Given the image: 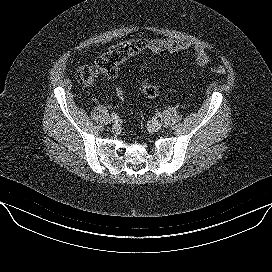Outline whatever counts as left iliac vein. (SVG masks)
Segmentation results:
<instances>
[{"instance_id": "obj_1", "label": "left iliac vein", "mask_w": 272, "mask_h": 272, "mask_svg": "<svg viewBox=\"0 0 272 272\" xmlns=\"http://www.w3.org/2000/svg\"><path fill=\"white\" fill-rule=\"evenodd\" d=\"M149 127L150 129H152L153 131H159L162 129V124L160 122H158L157 120H152L149 123Z\"/></svg>"}]
</instances>
